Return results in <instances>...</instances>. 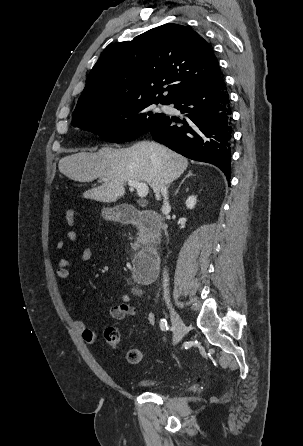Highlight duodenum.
<instances>
[{
	"label": "duodenum",
	"instance_id": "1",
	"mask_svg": "<svg viewBox=\"0 0 303 446\" xmlns=\"http://www.w3.org/2000/svg\"><path fill=\"white\" fill-rule=\"evenodd\" d=\"M117 219L124 224H133L143 230L153 241L160 230L161 216L152 210L140 211L132 207H122L116 213ZM136 280L139 283L152 281L158 273L159 255L153 247L139 251L133 259Z\"/></svg>",
	"mask_w": 303,
	"mask_h": 446
}]
</instances>
